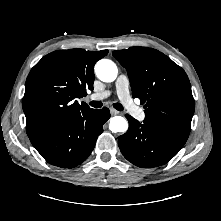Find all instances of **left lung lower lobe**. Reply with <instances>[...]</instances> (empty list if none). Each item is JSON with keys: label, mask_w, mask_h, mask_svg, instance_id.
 <instances>
[{"label": "left lung lower lobe", "mask_w": 221, "mask_h": 221, "mask_svg": "<svg viewBox=\"0 0 221 221\" xmlns=\"http://www.w3.org/2000/svg\"><path fill=\"white\" fill-rule=\"evenodd\" d=\"M128 131L118 139L123 156L136 166L151 168L171 160L187 139L162 131L149 123H140L126 114Z\"/></svg>", "instance_id": "0a47b994"}]
</instances>
